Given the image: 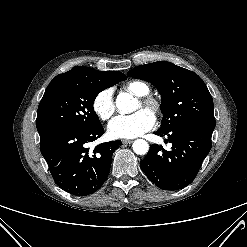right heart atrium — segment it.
<instances>
[{"label":"right heart atrium","mask_w":247,"mask_h":247,"mask_svg":"<svg viewBox=\"0 0 247 247\" xmlns=\"http://www.w3.org/2000/svg\"><path fill=\"white\" fill-rule=\"evenodd\" d=\"M92 108L99 119L108 121L116 110L112 88L100 90L93 99Z\"/></svg>","instance_id":"1"}]
</instances>
